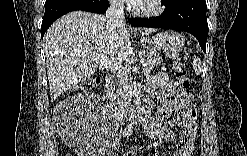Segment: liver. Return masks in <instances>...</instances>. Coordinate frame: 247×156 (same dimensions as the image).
I'll return each instance as SVG.
<instances>
[{"instance_id": "liver-1", "label": "liver", "mask_w": 247, "mask_h": 156, "mask_svg": "<svg viewBox=\"0 0 247 156\" xmlns=\"http://www.w3.org/2000/svg\"><path fill=\"white\" fill-rule=\"evenodd\" d=\"M149 35L154 28L113 26L103 15L70 12L55 21L43 39L52 101L96 72L99 61L120 65L131 52L132 34ZM89 58L97 59L89 61Z\"/></svg>"}]
</instances>
